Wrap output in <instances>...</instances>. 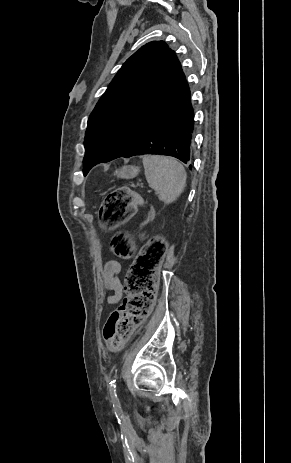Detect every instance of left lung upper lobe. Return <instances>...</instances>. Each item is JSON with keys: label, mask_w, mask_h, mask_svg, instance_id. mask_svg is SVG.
Returning <instances> with one entry per match:
<instances>
[{"label": "left lung upper lobe", "mask_w": 291, "mask_h": 463, "mask_svg": "<svg viewBox=\"0 0 291 463\" xmlns=\"http://www.w3.org/2000/svg\"><path fill=\"white\" fill-rule=\"evenodd\" d=\"M187 87L181 64L165 42L147 43L129 57L88 119L84 175L100 159L135 147Z\"/></svg>", "instance_id": "1"}]
</instances>
